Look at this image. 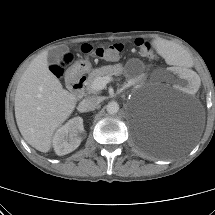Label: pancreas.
Instances as JSON below:
<instances>
[{"label":"pancreas","instance_id":"cf45deb5","mask_svg":"<svg viewBox=\"0 0 215 215\" xmlns=\"http://www.w3.org/2000/svg\"><path fill=\"white\" fill-rule=\"evenodd\" d=\"M123 73V67L121 64H115V65H107L103 66L98 69H94L88 76L86 80V87L88 92L94 93L96 90L92 88V83L96 78L104 77V76H111L116 75L119 76Z\"/></svg>","mask_w":215,"mask_h":215}]
</instances>
